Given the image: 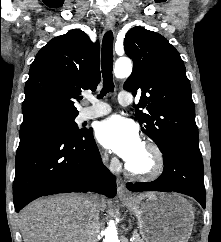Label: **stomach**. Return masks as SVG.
I'll list each match as a JSON object with an SVG mask.
<instances>
[{
    "mask_svg": "<svg viewBox=\"0 0 221 242\" xmlns=\"http://www.w3.org/2000/svg\"><path fill=\"white\" fill-rule=\"evenodd\" d=\"M122 203L138 219L145 242H187L194 224L191 204L177 194L147 192Z\"/></svg>",
    "mask_w": 221,
    "mask_h": 242,
    "instance_id": "obj_1",
    "label": "stomach"
}]
</instances>
